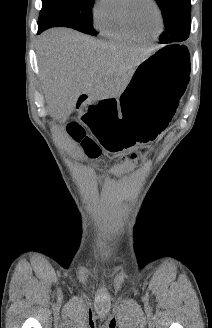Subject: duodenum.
<instances>
[{"instance_id": "1", "label": "duodenum", "mask_w": 212, "mask_h": 328, "mask_svg": "<svg viewBox=\"0 0 212 328\" xmlns=\"http://www.w3.org/2000/svg\"><path fill=\"white\" fill-rule=\"evenodd\" d=\"M87 102V99L86 98H83L81 101H79V105H83Z\"/></svg>"}]
</instances>
